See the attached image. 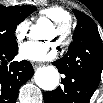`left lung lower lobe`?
Returning <instances> with one entry per match:
<instances>
[{"instance_id": "1", "label": "left lung lower lobe", "mask_w": 103, "mask_h": 103, "mask_svg": "<svg viewBox=\"0 0 103 103\" xmlns=\"http://www.w3.org/2000/svg\"><path fill=\"white\" fill-rule=\"evenodd\" d=\"M52 64L65 77L62 87L44 93L45 103H88L103 70V41L99 32H88Z\"/></svg>"}]
</instances>
